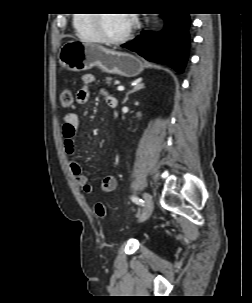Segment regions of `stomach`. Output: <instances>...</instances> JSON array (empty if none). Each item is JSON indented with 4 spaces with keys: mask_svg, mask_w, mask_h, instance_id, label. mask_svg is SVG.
<instances>
[{
    "mask_svg": "<svg viewBox=\"0 0 252 303\" xmlns=\"http://www.w3.org/2000/svg\"><path fill=\"white\" fill-rule=\"evenodd\" d=\"M59 61L63 67L72 71H84L97 66L106 73L128 78L139 75L145 68V64L134 55L78 40H69L61 47Z\"/></svg>",
    "mask_w": 252,
    "mask_h": 303,
    "instance_id": "0dacf381",
    "label": "stomach"
}]
</instances>
